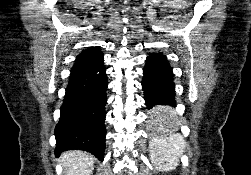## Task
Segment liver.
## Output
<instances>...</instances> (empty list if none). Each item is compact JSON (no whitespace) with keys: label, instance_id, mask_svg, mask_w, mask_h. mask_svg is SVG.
<instances>
[{"label":"liver","instance_id":"1","mask_svg":"<svg viewBox=\"0 0 251 175\" xmlns=\"http://www.w3.org/2000/svg\"><path fill=\"white\" fill-rule=\"evenodd\" d=\"M61 159L66 175H91L92 173L94 157L87 151H65Z\"/></svg>","mask_w":251,"mask_h":175}]
</instances>
